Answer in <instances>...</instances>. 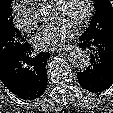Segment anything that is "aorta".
<instances>
[{"mask_svg": "<svg viewBox=\"0 0 113 113\" xmlns=\"http://www.w3.org/2000/svg\"><path fill=\"white\" fill-rule=\"evenodd\" d=\"M70 61L73 67L84 71L90 65V56L81 48L73 47L70 52Z\"/></svg>", "mask_w": 113, "mask_h": 113, "instance_id": "762f6f07", "label": "aorta"}]
</instances>
